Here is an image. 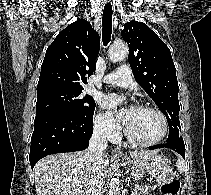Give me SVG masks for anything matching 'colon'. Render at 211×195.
I'll list each match as a JSON object with an SVG mask.
<instances>
[{
    "instance_id": "obj_1",
    "label": "colon",
    "mask_w": 211,
    "mask_h": 195,
    "mask_svg": "<svg viewBox=\"0 0 211 195\" xmlns=\"http://www.w3.org/2000/svg\"><path fill=\"white\" fill-rule=\"evenodd\" d=\"M179 189H180V182L177 180L164 183L161 186V191L164 195H177Z\"/></svg>"
}]
</instances>
